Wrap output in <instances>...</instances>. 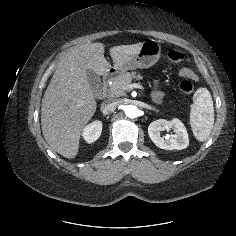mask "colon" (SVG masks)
<instances>
[{
	"instance_id": "colon-1",
	"label": "colon",
	"mask_w": 236,
	"mask_h": 236,
	"mask_svg": "<svg viewBox=\"0 0 236 236\" xmlns=\"http://www.w3.org/2000/svg\"><path fill=\"white\" fill-rule=\"evenodd\" d=\"M168 59L172 64L179 65L184 61V54L178 50H170L168 52ZM180 90L184 94H191L194 90L193 82L186 78L180 82Z\"/></svg>"
}]
</instances>
